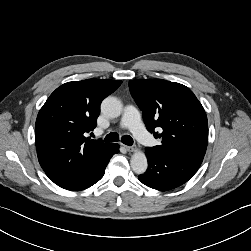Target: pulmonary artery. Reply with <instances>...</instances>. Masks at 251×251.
I'll return each instance as SVG.
<instances>
[{
    "label": "pulmonary artery",
    "instance_id": "1",
    "mask_svg": "<svg viewBox=\"0 0 251 251\" xmlns=\"http://www.w3.org/2000/svg\"><path fill=\"white\" fill-rule=\"evenodd\" d=\"M122 128H128L135 137L146 145L153 143V138L144 128L138 109L133 105H127L120 123Z\"/></svg>",
    "mask_w": 251,
    "mask_h": 251
}]
</instances>
